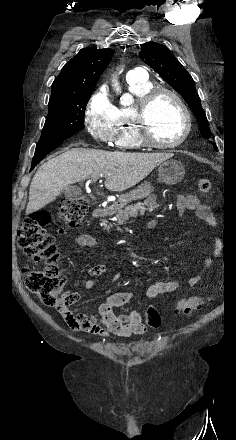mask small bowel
Instances as JSON below:
<instances>
[{
    "label": "small bowel",
    "mask_w": 236,
    "mask_h": 440,
    "mask_svg": "<svg viewBox=\"0 0 236 440\" xmlns=\"http://www.w3.org/2000/svg\"><path fill=\"white\" fill-rule=\"evenodd\" d=\"M176 205L179 212L184 213L187 210H193L197 216L206 222L209 226L214 227L216 225V219L214 218L211 209L208 205L200 202L195 195H178L176 197ZM150 226L154 225V221H150ZM72 240L82 247H96L98 240L95 236L86 233H80L73 236ZM219 250H216L218 253ZM210 265V260L207 259L201 268V270L189 280L190 286L197 285L203 274L207 271ZM105 272V266L102 264L93 265L89 269V274L92 278L85 281L84 286L86 289L91 290L95 288L97 282L94 277H97ZM121 278L120 273H115L112 277L113 281H118ZM181 284L177 280L158 281L151 284L146 290V296L149 299L156 298L157 296L165 293H171L177 291ZM70 306L78 302L81 298L80 292H67L66 293ZM133 298V294L127 291L115 292L108 296V298L99 305V318L87 316L84 314H75L70 309L69 312L76 319H86L88 321H69V330H82L92 334H98L102 337H130L132 335L143 334L146 331V326L142 322L141 315L138 311L132 310L128 314H115L113 309L123 307L127 305Z\"/></svg>",
    "instance_id": "obj_1"
}]
</instances>
